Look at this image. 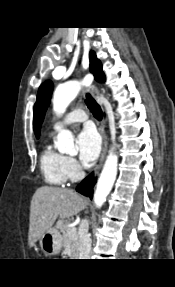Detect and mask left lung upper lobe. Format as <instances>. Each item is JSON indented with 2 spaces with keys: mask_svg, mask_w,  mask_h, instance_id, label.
I'll list each match as a JSON object with an SVG mask.
<instances>
[{
  "mask_svg": "<svg viewBox=\"0 0 175 287\" xmlns=\"http://www.w3.org/2000/svg\"><path fill=\"white\" fill-rule=\"evenodd\" d=\"M90 71L94 75L95 80L99 82L105 81V75L102 71V64L97 59L94 51H90ZM53 91V84L51 81L44 82L38 91L37 101L34 105V132L36 138H39L40 135V127L43 122L45 112L51 100V94Z\"/></svg>",
  "mask_w": 175,
  "mask_h": 287,
  "instance_id": "5c2ea615",
  "label": "left lung upper lobe"
}]
</instances>
